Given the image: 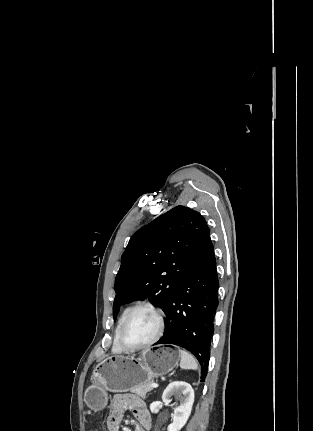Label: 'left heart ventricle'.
<instances>
[{
    "mask_svg": "<svg viewBox=\"0 0 313 431\" xmlns=\"http://www.w3.org/2000/svg\"><path fill=\"white\" fill-rule=\"evenodd\" d=\"M158 329L156 315L150 310L138 311L129 321L123 333V340L129 346L146 343L154 337Z\"/></svg>",
    "mask_w": 313,
    "mask_h": 431,
    "instance_id": "left-heart-ventricle-1",
    "label": "left heart ventricle"
}]
</instances>
